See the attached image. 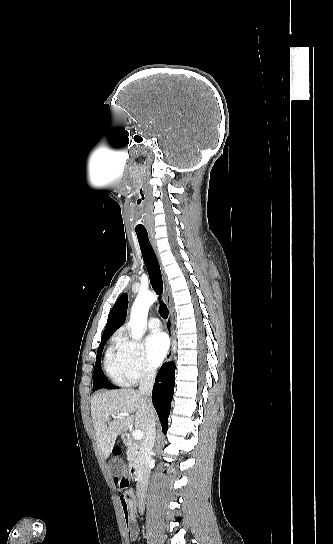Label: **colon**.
I'll return each instance as SVG.
<instances>
[{
  "instance_id": "obj_1",
  "label": "colon",
  "mask_w": 333,
  "mask_h": 544,
  "mask_svg": "<svg viewBox=\"0 0 333 544\" xmlns=\"http://www.w3.org/2000/svg\"><path fill=\"white\" fill-rule=\"evenodd\" d=\"M112 454L114 456H120L121 455V449L119 447H114L113 450H112ZM115 483L119 488L126 489L129 486L130 481L126 476L121 475V476H117L115 478Z\"/></svg>"
}]
</instances>
